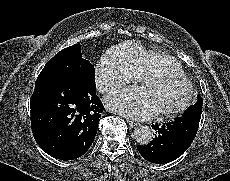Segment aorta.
<instances>
[{"label":"aorta","instance_id":"762f6f07","mask_svg":"<svg viewBox=\"0 0 230 181\" xmlns=\"http://www.w3.org/2000/svg\"><path fill=\"white\" fill-rule=\"evenodd\" d=\"M134 138L140 145H148L153 140V131L147 125H140L135 130Z\"/></svg>","mask_w":230,"mask_h":181}]
</instances>
